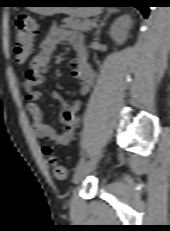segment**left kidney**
I'll return each instance as SVG.
<instances>
[{"label": "left kidney", "mask_w": 170, "mask_h": 231, "mask_svg": "<svg viewBox=\"0 0 170 231\" xmlns=\"http://www.w3.org/2000/svg\"><path fill=\"white\" fill-rule=\"evenodd\" d=\"M131 25H132V21L129 15H123L117 18L110 28L111 38L118 45L123 44L127 38Z\"/></svg>", "instance_id": "1"}]
</instances>
